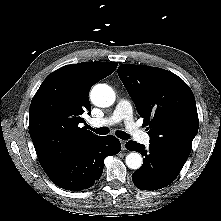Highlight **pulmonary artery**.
I'll use <instances>...</instances> for the list:
<instances>
[{
	"label": "pulmonary artery",
	"mask_w": 221,
	"mask_h": 221,
	"mask_svg": "<svg viewBox=\"0 0 221 221\" xmlns=\"http://www.w3.org/2000/svg\"><path fill=\"white\" fill-rule=\"evenodd\" d=\"M121 121H124L126 129L135 140L143 144H149L150 136L143 132L135 124L131 104L125 99L118 102L111 116L105 118H93L89 123L93 127H103L113 125Z\"/></svg>",
	"instance_id": "pulmonary-artery-1"
}]
</instances>
